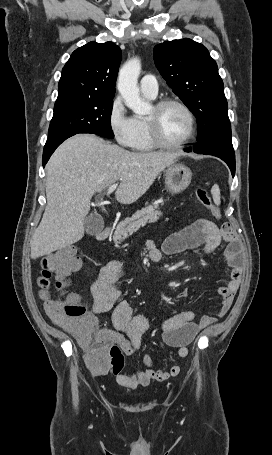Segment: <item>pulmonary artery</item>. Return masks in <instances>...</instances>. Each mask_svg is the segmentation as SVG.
Instances as JSON below:
<instances>
[{
  "mask_svg": "<svg viewBox=\"0 0 272 455\" xmlns=\"http://www.w3.org/2000/svg\"><path fill=\"white\" fill-rule=\"evenodd\" d=\"M140 89L142 93L150 98L156 97L158 93V82L154 75L146 74L140 80Z\"/></svg>",
  "mask_w": 272,
  "mask_h": 455,
  "instance_id": "e3ab8cb5",
  "label": "pulmonary artery"
}]
</instances>
